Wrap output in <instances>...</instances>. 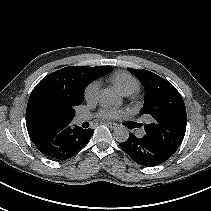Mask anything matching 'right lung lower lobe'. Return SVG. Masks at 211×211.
<instances>
[{
  "instance_id": "right-lung-lower-lobe-1",
  "label": "right lung lower lobe",
  "mask_w": 211,
  "mask_h": 211,
  "mask_svg": "<svg viewBox=\"0 0 211 211\" xmlns=\"http://www.w3.org/2000/svg\"><path fill=\"white\" fill-rule=\"evenodd\" d=\"M94 129H82L70 123L52 126L32 138L37 149L50 159L67 160L90 140Z\"/></svg>"
}]
</instances>
